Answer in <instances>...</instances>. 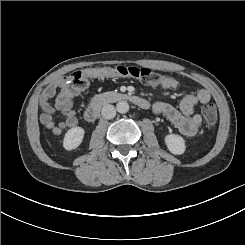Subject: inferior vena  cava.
Here are the masks:
<instances>
[{
    "mask_svg": "<svg viewBox=\"0 0 245 245\" xmlns=\"http://www.w3.org/2000/svg\"><path fill=\"white\" fill-rule=\"evenodd\" d=\"M101 114L105 119H112L116 115V109L113 105L107 104L102 108Z\"/></svg>",
    "mask_w": 245,
    "mask_h": 245,
    "instance_id": "obj_1",
    "label": "inferior vena cava"
}]
</instances>
